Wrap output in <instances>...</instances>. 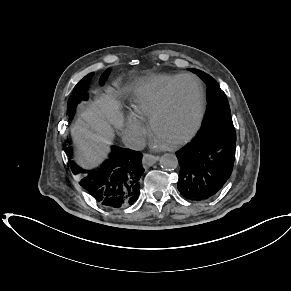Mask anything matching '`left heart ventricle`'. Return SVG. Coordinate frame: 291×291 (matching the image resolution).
Returning <instances> with one entry per match:
<instances>
[{
  "instance_id": "1",
  "label": "left heart ventricle",
  "mask_w": 291,
  "mask_h": 291,
  "mask_svg": "<svg viewBox=\"0 0 291 291\" xmlns=\"http://www.w3.org/2000/svg\"><path fill=\"white\" fill-rule=\"evenodd\" d=\"M197 114V87L184 81L173 95L168 110L158 118L154 134L171 143L186 135L193 127Z\"/></svg>"
}]
</instances>
